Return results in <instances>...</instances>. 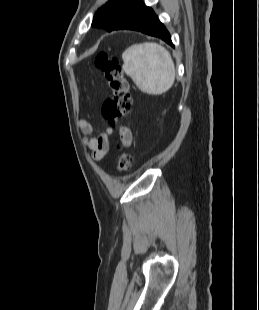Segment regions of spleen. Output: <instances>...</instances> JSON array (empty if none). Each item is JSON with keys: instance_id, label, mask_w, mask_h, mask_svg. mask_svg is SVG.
I'll list each match as a JSON object with an SVG mask.
<instances>
[{"instance_id": "3e777b00", "label": "spleen", "mask_w": 259, "mask_h": 310, "mask_svg": "<svg viewBox=\"0 0 259 310\" xmlns=\"http://www.w3.org/2000/svg\"><path fill=\"white\" fill-rule=\"evenodd\" d=\"M123 70L144 93L160 95L175 80V65L170 53L152 42L133 44L122 54Z\"/></svg>"}]
</instances>
